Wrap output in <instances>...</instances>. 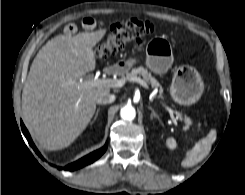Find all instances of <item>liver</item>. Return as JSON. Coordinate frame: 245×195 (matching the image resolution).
I'll list each match as a JSON object with an SVG mask.
<instances>
[{
    "mask_svg": "<svg viewBox=\"0 0 245 195\" xmlns=\"http://www.w3.org/2000/svg\"><path fill=\"white\" fill-rule=\"evenodd\" d=\"M105 33L56 36L33 60L22 92V116L42 148L59 150L74 142L93 117L98 96L110 92V87L73 83L95 69L93 48Z\"/></svg>",
    "mask_w": 245,
    "mask_h": 195,
    "instance_id": "1",
    "label": "liver"
}]
</instances>
